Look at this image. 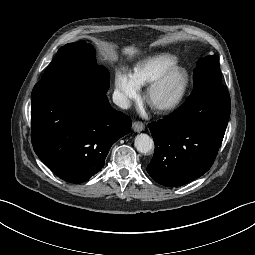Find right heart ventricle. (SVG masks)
I'll return each mask as SVG.
<instances>
[{"label": "right heart ventricle", "mask_w": 255, "mask_h": 255, "mask_svg": "<svg viewBox=\"0 0 255 255\" xmlns=\"http://www.w3.org/2000/svg\"><path fill=\"white\" fill-rule=\"evenodd\" d=\"M174 65H178L176 56L166 52L153 54L137 64L134 69V76L140 86H145Z\"/></svg>", "instance_id": "e07e8e85"}]
</instances>
